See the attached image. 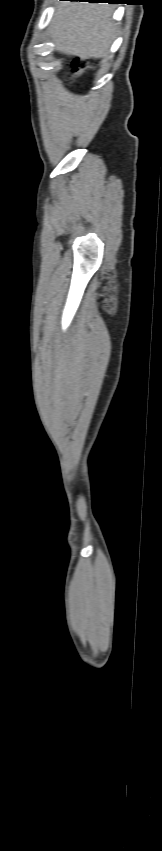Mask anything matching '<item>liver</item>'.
<instances>
[{
  "mask_svg": "<svg viewBox=\"0 0 162 851\" xmlns=\"http://www.w3.org/2000/svg\"><path fill=\"white\" fill-rule=\"evenodd\" d=\"M112 13L106 4L63 1L49 30L55 48L81 59L106 58L116 34Z\"/></svg>",
  "mask_w": 162,
  "mask_h": 851,
  "instance_id": "liver-1",
  "label": "liver"
}]
</instances>
